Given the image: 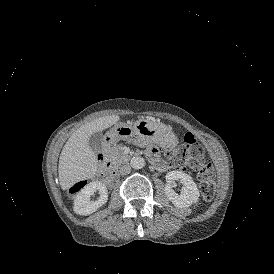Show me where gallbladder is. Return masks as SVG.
I'll return each mask as SVG.
<instances>
[{
    "mask_svg": "<svg viewBox=\"0 0 274 274\" xmlns=\"http://www.w3.org/2000/svg\"><path fill=\"white\" fill-rule=\"evenodd\" d=\"M103 141L104 136L102 132H97L89 138V145L94 152L99 153L103 149Z\"/></svg>",
    "mask_w": 274,
    "mask_h": 274,
    "instance_id": "1",
    "label": "gallbladder"
}]
</instances>
